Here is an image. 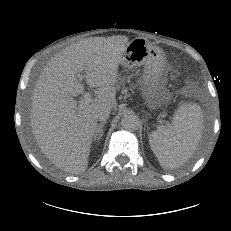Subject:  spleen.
Here are the masks:
<instances>
[{"mask_svg":"<svg viewBox=\"0 0 231 231\" xmlns=\"http://www.w3.org/2000/svg\"><path fill=\"white\" fill-rule=\"evenodd\" d=\"M202 130L203 116L200 106L196 103H185L175 112L171 124L161 125L149 135V144L163 168H177L197 149Z\"/></svg>","mask_w":231,"mask_h":231,"instance_id":"1","label":"spleen"}]
</instances>
